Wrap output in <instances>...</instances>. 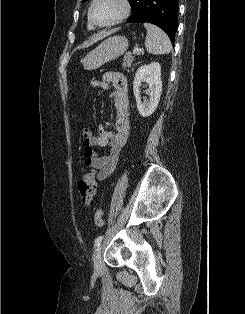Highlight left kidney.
<instances>
[{
	"label": "left kidney",
	"instance_id": "obj_1",
	"mask_svg": "<svg viewBox=\"0 0 245 314\" xmlns=\"http://www.w3.org/2000/svg\"><path fill=\"white\" fill-rule=\"evenodd\" d=\"M146 82L149 87V100L141 101L140 86ZM133 90L136 98L137 109L142 117L150 116L157 108L162 93L161 66L157 62L141 66L133 81Z\"/></svg>",
	"mask_w": 245,
	"mask_h": 314
}]
</instances>
